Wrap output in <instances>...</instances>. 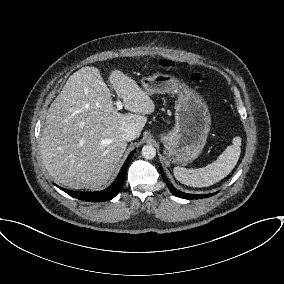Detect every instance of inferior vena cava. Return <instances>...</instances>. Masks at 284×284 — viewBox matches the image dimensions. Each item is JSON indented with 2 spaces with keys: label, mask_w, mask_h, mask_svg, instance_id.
I'll list each match as a JSON object with an SVG mask.
<instances>
[{
  "label": "inferior vena cava",
  "mask_w": 284,
  "mask_h": 284,
  "mask_svg": "<svg viewBox=\"0 0 284 284\" xmlns=\"http://www.w3.org/2000/svg\"><path fill=\"white\" fill-rule=\"evenodd\" d=\"M122 137L126 141H133L137 137L136 131L131 127H127L123 130Z\"/></svg>",
  "instance_id": "602c4592"
}]
</instances>
